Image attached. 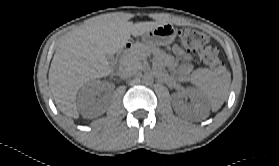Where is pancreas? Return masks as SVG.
Masks as SVG:
<instances>
[{
	"label": "pancreas",
	"instance_id": "obj_1",
	"mask_svg": "<svg viewBox=\"0 0 279 166\" xmlns=\"http://www.w3.org/2000/svg\"><path fill=\"white\" fill-rule=\"evenodd\" d=\"M151 51H157V49L142 43H136L131 50L122 57L120 64L124 68L138 69L141 67V61Z\"/></svg>",
	"mask_w": 279,
	"mask_h": 166
}]
</instances>
